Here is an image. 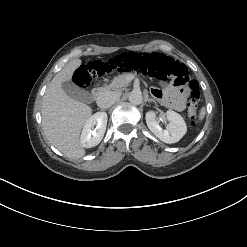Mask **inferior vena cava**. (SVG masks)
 I'll use <instances>...</instances> for the list:
<instances>
[{
    "label": "inferior vena cava",
    "mask_w": 247,
    "mask_h": 247,
    "mask_svg": "<svg viewBox=\"0 0 247 247\" xmlns=\"http://www.w3.org/2000/svg\"><path fill=\"white\" fill-rule=\"evenodd\" d=\"M119 99V94L115 92H105L97 99V105L101 109H107L111 107Z\"/></svg>",
    "instance_id": "inferior-vena-cava-1"
}]
</instances>
